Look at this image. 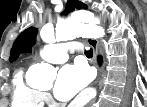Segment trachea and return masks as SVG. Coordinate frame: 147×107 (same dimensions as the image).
<instances>
[{
    "label": "trachea",
    "instance_id": "3493384b",
    "mask_svg": "<svg viewBox=\"0 0 147 107\" xmlns=\"http://www.w3.org/2000/svg\"><path fill=\"white\" fill-rule=\"evenodd\" d=\"M85 55H86V57L91 58L93 56L92 50L91 49L90 50H85Z\"/></svg>",
    "mask_w": 147,
    "mask_h": 107
}]
</instances>
